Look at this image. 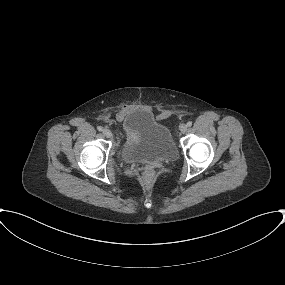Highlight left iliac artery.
<instances>
[{
	"label": "left iliac artery",
	"mask_w": 285,
	"mask_h": 285,
	"mask_svg": "<svg viewBox=\"0 0 285 285\" xmlns=\"http://www.w3.org/2000/svg\"><path fill=\"white\" fill-rule=\"evenodd\" d=\"M187 126H188V127H191V126H192V122L189 121V122L187 123Z\"/></svg>",
	"instance_id": "obj_1"
}]
</instances>
